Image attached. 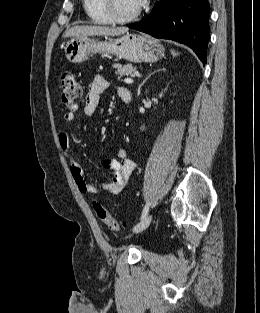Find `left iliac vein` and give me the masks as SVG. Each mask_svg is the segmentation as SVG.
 I'll use <instances>...</instances> for the list:
<instances>
[{
  "instance_id": "1",
  "label": "left iliac vein",
  "mask_w": 260,
  "mask_h": 313,
  "mask_svg": "<svg viewBox=\"0 0 260 313\" xmlns=\"http://www.w3.org/2000/svg\"><path fill=\"white\" fill-rule=\"evenodd\" d=\"M151 220H152V215L149 214L144 219H142L137 225H135V227L133 228V231L135 233L142 232L149 226V224L151 223Z\"/></svg>"
}]
</instances>
